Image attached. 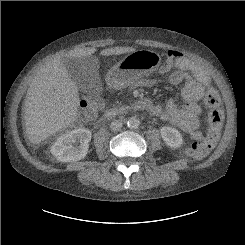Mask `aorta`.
<instances>
[{
    "label": "aorta",
    "instance_id": "obj_1",
    "mask_svg": "<svg viewBox=\"0 0 245 245\" xmlns=\"http://www.w3.org/2000/svg\"><path fill=\"white\" fill-rule=\"evenodd\" d=\"M127 125L129 128L136 129L140 125V121L136 117H131L127 121Z\"/></svg>",
    "mask_w": 245,
    "mask_h": 245
}]
</instances>
